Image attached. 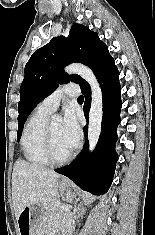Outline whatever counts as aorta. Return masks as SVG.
Masks as SVG:
<instances>
[{
  "instance_id": "762f6f07",
  "label": "aorta",
  "mask_w": 155,
  "mask_h": 235,
  "mask_svg": "<svg viewBox=\"0 0 155 235\" xmlns=\"http://www.w3.org/2000/svg\"><path fill=\"white\" fill-rule=\"evenodd\" d=\"M64 70L68 74L80 75L84 80H86L90 84L91 107L89 113L88 140H89V150L93 151L97 145L102 127V116H103L102 90L94 73L87 66L79 63H74L66 66Z\"/></svg>"
}]
</instances>
